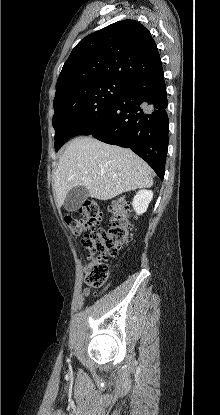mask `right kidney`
<instances>
[{
  "mask_svg": "<svg viewBox=\"0 0 220 415\" xmlns=\"http://www.w3.org/2000/svg\"><path fill=\"white\" fill-rule=\"evenodd\" d=\"M153 198V192L151 190H140L134 196L132 206L138 215L146 212L149 203Z\"/></svg>",
  "mask_w": 220,
  "mask_h": 415,
  "instance_id": "right-kidney-1",
  "label": "right kidney"
}]
</instances>
